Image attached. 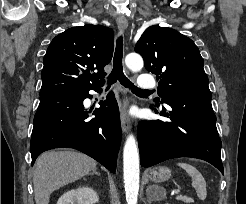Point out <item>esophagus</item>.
<instances>
[{"label": "esophagus", "mask_w": 246, "mask_h": 204, "mask_svg": "<svg viewBox=\"0 0 246 204\" xmlns=\"http://www.w3.org/2000/svg\"><path fill=\"white\" fill-rule=\"evenodd\" d=\"M117 26L120 32H123L128 27V21L126 17L119 16L117 18ZM120 122H121V128L124 133H127L131 128V122L130 118L128 117L126 113V105H122L120 109Z\"/></svg>", "instance_id": "esophagus-1"}]
</instances>
